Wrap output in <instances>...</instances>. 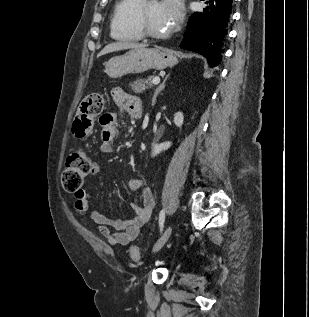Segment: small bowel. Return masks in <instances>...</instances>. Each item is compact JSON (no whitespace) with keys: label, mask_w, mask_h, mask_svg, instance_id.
<instances>
[{"label":"small bowel","mask_w":309,"mask_h":317,"mask_svg":"<svg viewBox=\"0 0 309 317\" xmlns=\"http://www.w3.org/2000/svg\"><path fill=\"white\" fill-rule=\"evenodd\" d=\"M112 97L114 102L124 108L132 118L138 119L142 116L141 101L121 88H114L112 90ZM118 115L116 113H106L100 117V124L102 127L101 145L95 153V157L99 154L111 153L115 149L116 125ZM99 165L95 162L92 166V172L97 173ZM130 187L133 190H139L141 196V203H132L131 209L134 216L130 219H112L101 212L94 210L91 212V219L98 225L99 233L112 246L128 245L134 241L142 226H144L150 219L155 200L152 191L143 185L142 180L132 179ZM93 201V195L88 191L81 189L74 195V205L77 212L84 215Z\"/></svg>","instance_id":"small-bowel-1"}]
</instances>
